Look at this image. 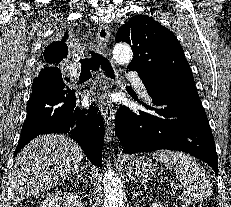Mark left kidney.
I'll list each match as a JSON object with an SVG mask.
<instances>
[{"mask_svg":"<svg viewBox=\"0 0 231 207\" xmlns=\"http://www.w3.org/2000/svg\"><path fill=\"white\" fill-rule=\"evenodd\" d=\"M150 207H166V206H164L163 204H161L159 202H155Z\"/></svg>","mask_w":231,"mask_h":207,"instance_id":"obj_1","label":"left kidney"}]
</instances>
